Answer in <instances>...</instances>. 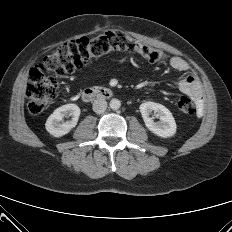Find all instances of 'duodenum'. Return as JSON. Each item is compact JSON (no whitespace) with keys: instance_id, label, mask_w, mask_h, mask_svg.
I'll return each mask as SVG.
<instances>
[{"instance_id":"1","label":"duodenum","mask_w":232,"mask_h":232,"mask_svg":"<svg viewBox=\"0 0 232 232\" xmlns=\"http://www.w3.org/2000/svg\"><path fill=\"white\" fill-rule=\"evenodd\" d=\"M113 95V91L109 88L102 87H92L87 88L82 92V99L85 102H90L96 99H107L111 98Z\"/></svg>"}]
</instances>
